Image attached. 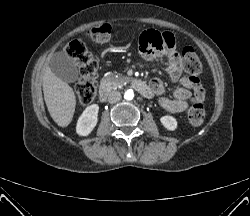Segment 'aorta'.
<instances>
[{
    "instance_id": "aorta-1",
    "label": "aorta",
    "mask_w": 250,
    "mask_h": 216,
    "mask_svg": "<svg viewBox=\"0 0 250 216\" xmlns=\"http://www.w3.org/2000/svg\"><path fill=\"white\" fill-rule=\"evenodd\" d=\"M124 98L126 100H132L134 98V92L133 90H127L124 94Z\"/></svg>"
}]
</instances>
